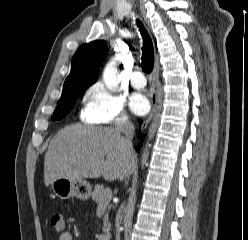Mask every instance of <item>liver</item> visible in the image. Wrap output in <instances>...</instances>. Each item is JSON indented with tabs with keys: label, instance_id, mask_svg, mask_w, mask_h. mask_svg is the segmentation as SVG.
<instances>
[{
	"label": "liver",
	"instance_id": "6515ba94",
	"mask_svg": "<svg viewBox=\"0 0 248 240\" xmlns=\"http://www.w3.org/2000/svg\"><path fill=\"white\" fill-rule=\"evenodd\" d=\"M135 166L133 148L113 127L71 125L51 140L45 154L44 182L58 178L123 180Z\"/></svg>",
	"mask_w": 248,
	"mask_h": 240
}]
</instances>
